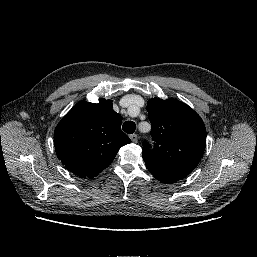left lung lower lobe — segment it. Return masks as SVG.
I'll return each mask as SVG.
<instances>
[{"instance_id":"1","label":"left lung lower lobe","mask_w":257,"mask_h":257,"mask_svg":"<svg viewBox=\"0 0 257 257\" xmlns=\"http://www.w3.org/2000/svg\"><path fill=\"white\" fill-rule=\"evenodd\" d=\"M151 172V174L159 181L164 182V183H172V182H176L178 180H181L182 178L176 177V176H172V175H168V174H164V173H160L154 170H149Z\"/></svg>"}]
</instances>
